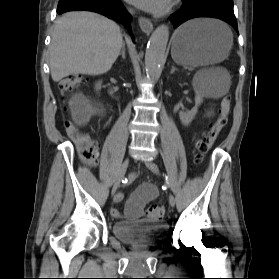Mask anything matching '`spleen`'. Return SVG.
<instances>
[{
	"instance_id": "1",
	"label": "spleen",
	"mask_w": 279,
	"mask_h": 279,
	"mask_svg": "<svg viewBox=\"0 0 279 279\" xmlns=\"http://www.w3.org/2000/svg\"><path fill=\"white\" fill-rule=\"evenodd\" d=\"M223 30L227 33H231L230 29L220 23ZM233 37V36H232ZM211 70H203L196 74L194 80L198 86L200 93L210 97H221L225 95L230 87V78L227 76L224 80H215L212 78Z\"/></svg>"
}]
</instances>
